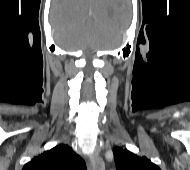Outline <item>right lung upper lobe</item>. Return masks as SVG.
<instances>
[{
  "label": "right lung upper lobe",
  "instance_id": "right-lung-upper-lobe-1",
  "mask_svg": "<svg viewBox=\"0 0 190 170\" xmlns=\"http://www.w3.org/2000/svg\"><path fill=\"white\" fill-rule=\"evenodd\" d=\"M84 164L71 147L60 144L34 157L22 170H83Z\"/></svg>",
  "mask_w": 190,
  "mask_h": 170
}]
</instances>
